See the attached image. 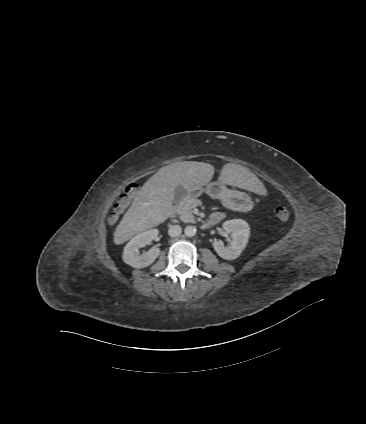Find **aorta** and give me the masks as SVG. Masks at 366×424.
<instances>
[{"label": "aorta", "instance_id": "1", "mask_svg": "<svg viewBox=\"0 0 366 424\" xmlns=\"http://www.w3.org/2000/svg\"><path fill=\"white\" fill-rule=\"evenodd\" d=\"M184 233L188 237H192L196 234V227L195 226H186L184 229Z\"/></svg>", "mask_w": 366, "mask_h": 424}]
</instances>
